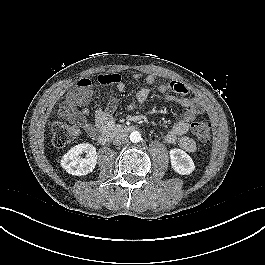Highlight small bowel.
<instances>
[{"instance_id":"obj_1","label":"small bowel","mask_w":265,"mask_h":265,"mask_svg":"<svg viewBox=\"0 0 265 265\" xmlns=\"http://www.w3.org/2000/svg\"><path fill=\"white\" fill-rule=\"evenodd\" d=\"M133 78L139 80L142 78L141 73H134ZM104 84H114L119 92L126 89L125 83L118 74L104 76L101 80ZM155 77L151 74L145 77V83L148 86L153 85ZM158 91L169 100L179 104L185 109L181 119H179L164 135L167 143H177L186 152L192 153L196 150L195 141L187 136L190 123L204 112V105L200 99L189 97L186 86L180 82H168L160 84ZM150 95V89L143 87L137 91L132 102L127 105L128 110L135 109L138 105L143 104ZM92 96L91 81L88 78H81L77 84L67 93L62 102V114L74 124L81 126L88 135L92 136L97 133L111 128L113 118L111 109L117 105V99L111 98L108 107L98 109L95 113V122L89 123L87 116L90 113L88 104Z\"/></svg>"}]
</instances>
